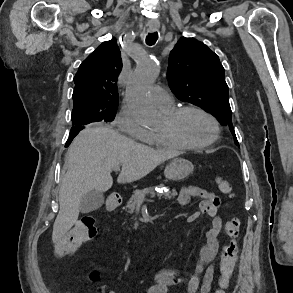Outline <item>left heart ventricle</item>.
<instances>
[{"mask_svg":"<svg viewBox=\"0 0 293 293\" xmlns=\"http://www.w3.org/2000/svg\"><path fill=\"white\" fill-rule=\"evenodd\" d=\"M168 127V120L161 131ZM177 130L188 142L199 144L209 140L213 135V126L210 121L197 112H188L180 119Z\"/></svg>","mask_w":293,"mask_h":293,"instance_id":"1","label":"left heart ventricle"}]
</instances>
